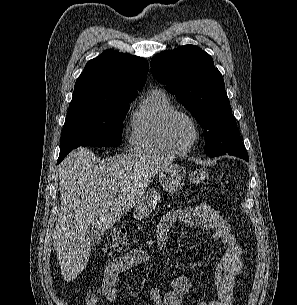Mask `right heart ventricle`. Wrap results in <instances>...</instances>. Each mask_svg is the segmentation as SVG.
<instances>
[{"mask_svg": "<svg viewBox=\"0 0 297 305\" xmlns=\"http://www.w3.org/2000/svg\"><path fill=\"white\" fill-rule=\"evenodd\" d=\"M171 98L162 90L150 92L133 112L129 146L140 153H173L161 133L164 117L175 110Z\"/></svg>", "mask_w": 297, "mask_h": 305, "instance_id": "1", "label": "right heart ventricle"}]
</instances>
